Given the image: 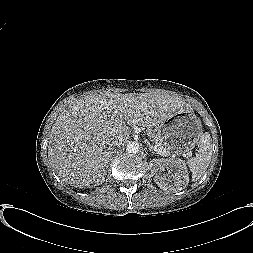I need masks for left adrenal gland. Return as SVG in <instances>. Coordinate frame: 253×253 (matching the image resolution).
<instances>
[{
	"label": "left adrenal gland",
	"instance_id": "a2214340",
	"mask_svg": "<svg viewBox=\"0 0 253 253\" xmlns=\"http://www.w3.org/2000/svg\"><path fill=\"white\" fill-rule=\"evenodd\" d=\"M148 148H149L150 152H152L153 154H156V152L153 150V147L150 144H149Z\"/></svg>",
	"mask_w": 253,
	"mask_h": 253
}]
</instances>
